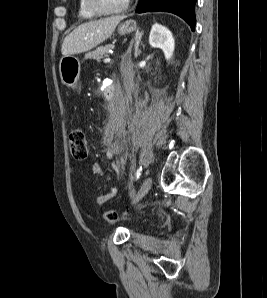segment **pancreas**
<instances>
[{"instance_id": "cf45deb5", "label": "pancreas", "mask_w": 267, "mask_h": 298, "mask_svg": "<svg viewBox=\"0 0 267 298\" xmlns=\"http://www.w3.org/2000/svg\"><path fill=\"white\" fill-rule=\"evenodd\" d=\"M113 47L112 44H107L105 46H100L95 50L86 54L85 59L92 58L96 60L102 59L104 56H107L108 51Z\"/></svg>"}]
</instances>
